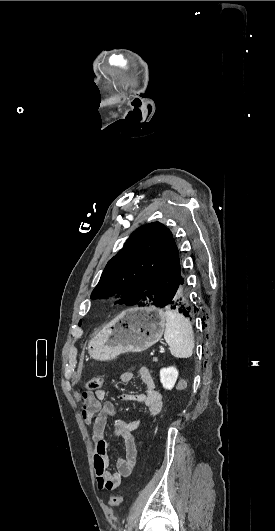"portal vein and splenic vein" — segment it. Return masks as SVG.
Masks as SVG:
<instances>
[{
    "mask_svg": "<svg viewBox=\"0 0 275 531\" xmlns=\"http://www.w3.org/2000/svg\"><path fill=\"white\" fill-rule=\"evenodd\" d=\"M160 350H165V347H160Z\"/></svg>",
    "mask_w": 275,
    "mask_h": 531,
    "instance_id": "portal-vein-and-splenic-vein-1",
    "label": "portal vein and splenic vein"
}]
</instances>
